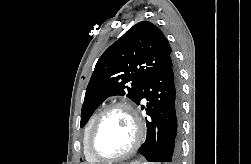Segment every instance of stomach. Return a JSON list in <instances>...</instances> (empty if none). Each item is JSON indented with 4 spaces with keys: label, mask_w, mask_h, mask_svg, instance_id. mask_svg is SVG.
I'll use <instances>...</instances> for the list:
<instances>
[{
    "label": "stomach",
    "mask_w": 251,
    "mask_h": 164,
    "mask_svg": "<svg viewBox=\"0 0 251 164\" xmlns=\"http://www.w3.org/2000/svg\"><path fill=\"white\" fill-rule=\"evenodd\" d=\"M132 164H143V163H139V162H132Z\"/></svg>",
    "instance_id": "0dacf381"
}]
</instances>
